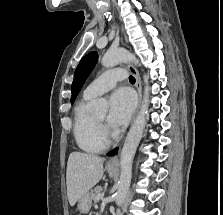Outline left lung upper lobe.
Listing matches in <instances>:
<instances>
[{"mask_svg":"<svg viewBox=\"0 0 223 215\" xmlns=\"http://www.w3.org/2000/svg\"><path fill=\"white\" fill-rule=\"evenodd\" d=\"M97 59L98 55L96 52H91L81 59L74 73V80L72 83L71 103H73L74 100L76 99V96L78 95L81 87L85 83L86 78L89 76L90 72L94 68Z\"/></svg>","mask_w":223,"mask_h":215,"instance_id":"left-lung-upper-lobe-1","label":"left lung upper lobe"}]
</instances>
